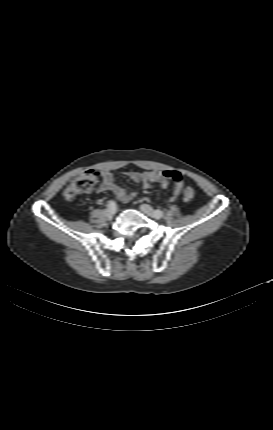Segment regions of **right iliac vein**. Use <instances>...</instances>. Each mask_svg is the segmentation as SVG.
<instances>
[{"instance_id": "1", "label": "right iliac vein", "mask_w": 273, "mask_h": 430, "mask_svg": "<svg viewBox=\"0 0 273 430\" xmlns=\"http://www.w3.org/2000/svg\"><path fill=\"white\" fill-rule=\"evenodd\" d=\"M106 212H107L108 215L113 216V215L116 214L117 209H107Z\"/></svg>"}]
</instances>
